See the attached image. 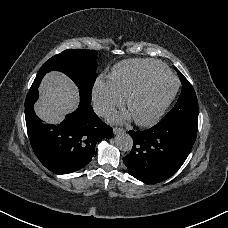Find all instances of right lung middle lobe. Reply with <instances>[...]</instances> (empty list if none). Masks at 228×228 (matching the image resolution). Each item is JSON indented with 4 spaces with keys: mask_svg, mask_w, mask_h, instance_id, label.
Segmentation results:
<instances>
[{
    "mask_svg": "<svg viewBox=\"0 0 228 228\" xmlns=\"http://www.w3.org/2000/svg\"><path fill=\"white\" fill-rule=\"evenodd\" d=\"M96 56L97 52L94 50H65L42 65L34 82L40 84L43 76L50 71H61L78 86L80 101L90 103L93 84L97 76L94 61Z\"/></svg>",
    "mask_w": 228,
    "mask_h": 228,
    "instance_id": "obj_1",
    "label": "right lung middle lobe"
}]
</instances>
